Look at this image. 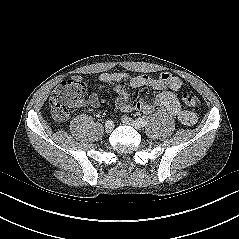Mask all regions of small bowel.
<instances>
[{
	"label": "small bowel",
	"instance_id": "c3829d8e",
	"mask_svg": "<svg viewBox=\"0 0 239 239\" xmlns=\"http://www.w3.org/2000/svg\"><path fill=\"white\" fill-rule=\"evenodd\" d=\"M76 79L81 81L80 77ZM102 84L112 86L118 94L116 108L122 112L137 111L150 114L155 110L163 109L175 116L186 126L194 125L197 121L195 113L181 107L176 92L182 87V80L171 73H161L157 78L147 75H132L124 72H105L99 76ZM125 85L131 88L152 87L160 91L154 101L147 102L144 99L138 100L134 105L131 103ZM88 105L97 108L100 99L97 93H92L88 99Z\"/></svg>",
	"mask_w": 239,
	"mask_h": 239
}]
</instances>
